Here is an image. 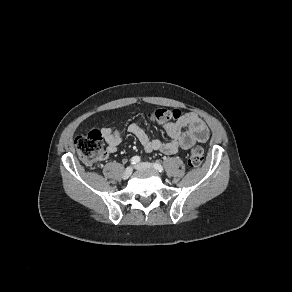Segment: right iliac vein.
<instances>
[{
    "label": "right iliac vein",
    "mask_w": 292,
    "mask_h": 292,
    "mask_svg": "<svg viewBox=\"0 0 292 292\" xmlns=\"http://www.w3.org/2000/svg\"><path fill=\"white\" fill-rule=\"evenodd\" d=\"M132 171H133V168L131 166L127 167L122 174V178L124 180L128 179L131 176Z\"/></svg>",
    "instance_id": "obj_1"
}]
</instances>
